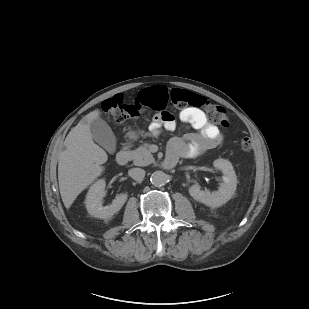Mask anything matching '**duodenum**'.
<instances>
[{
  "label": "duodenum",
  "instance_id": "obj_1",
  "mask_svg": "<svg viewBox=\"0 0 309 309\" xmlns=\"http://www.w3.org/2000/svg\"><path fill=\"white\" fill-rule=\"evenodd\" d=\"M129 161V153H128V149L126 147L122 148L116 155V162L121 165L124 166L128 163ZM176 162L171 161V160H165L164 161V166L166 168H171L175 165Z\"/></svg>",
  "mask_w": 309,
  "mask_h": 309
}]
</instances>
